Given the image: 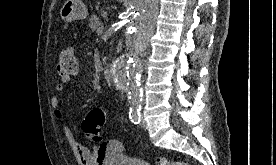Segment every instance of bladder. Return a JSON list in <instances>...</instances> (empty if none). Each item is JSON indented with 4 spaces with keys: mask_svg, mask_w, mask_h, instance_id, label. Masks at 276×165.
<instances>
[{
    "mask_svg": "<svg viewBox=\"0 0 276 165\" xmlns=\"http://www.w3.org/2000/svg\"><path fill=\"white\" fill-rule=\"evenodd\" d=\"M108 165H150L140 159L117 155Z\"/></svg>",
    "mask_w": 276,
    "mask_h": 165,
    "instance_id": "bladder-1",
    "label": "bladder"
}]
</instances>
